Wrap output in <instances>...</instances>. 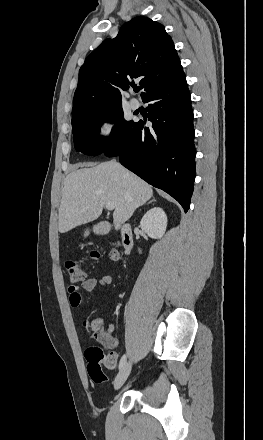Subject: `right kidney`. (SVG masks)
<instances>
[{
  "mask_svg": "<svg viewBox=\"0 0 263 440\" xmlns=\"http://www.w3.org/2000/svg\"><path fill=\"white\" fill-rule=\"evenodd\" d=\"M140 227L153 239L163 237L167 227V216L163 209L154 207L147 211L141 219Z\"/></svg>",
  "mask_w": 263,
  "mask_h": 440,
  "instance_id": "obj_1",
  "label": "right kidney"
}]
</instances>
